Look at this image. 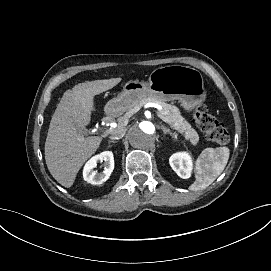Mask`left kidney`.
I'll return each instance as SVG.
<instances>
[{"instance_id":"left-kidney-1","label":"left kidney","mask_w":271,"mask_h":271,"mask_svg":"<svg viewBox=\"0 0 271 271\" xmlns=\"http://www.w3.org/2000/svg\"><path fill=\"white\" fill-rule=\"evenodd\" d=\"M169 163L171 168L177 173L179 177L183 179H187L190 177L192 164L190 157L187 154H174L170 157Z\"/></svg>"}]
</instances>
